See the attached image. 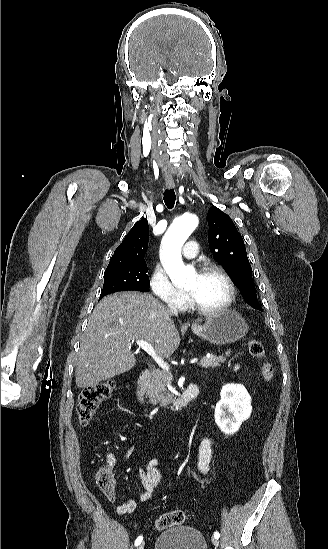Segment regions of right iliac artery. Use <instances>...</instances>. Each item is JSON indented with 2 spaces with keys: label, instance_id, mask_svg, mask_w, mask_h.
<instances>
[{
  "label": "right iliac artery",
  "instance_id": "1",
  "mask_svg": "<svg viewBox=\"0 0 328 549\" xmlns=\"http://www.w3.org/2000/svg\"><path fill=\"white\" fill-rule=\"evenodd\" d=\"M143 540V536H139L136 540H135V546H138Z\"/></svg>",
  "mask_w": 328,
  "mask_h": 549
}]
</instances>
